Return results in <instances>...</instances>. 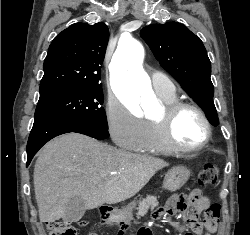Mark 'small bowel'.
Wrapping results in <instances>:
<instances>
[{
    "label": "small bowel",
    "instance_id": "c3829d8e",
    "mask_svg": "<svg viewBox=\"0 0 250 235\" xmlns=\"http://www.w3.org/2000/svg\"><path fill=\"white\" fill-rule=\"evenodd\" d=\"M191 196L196 198L190 202L172 197L165 206L158 208L153 213V219L160 220L166 216L180 213L185 217L187 225L177 224L176 227L183 235H214L217 225L202 224L197 219L198 215L209 205L210 199L198 191H194ZM118 235H123V233L119 232Z\"/></svg>",
    "mask_w": 250,
    "mask_h": 235
}]
</instances>
